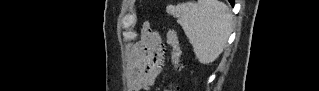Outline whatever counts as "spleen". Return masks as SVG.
Returning a JSON list of instances; mask_svg holds the SVG:
<instances>
[{"label":"spleen","mask_w":319,"mask_h":91,"mask_svg":"<svg viewBox=\"0 0 319 91\" xmlns=\"http://www.w3.org/2000/svg\"><path fill=\"white\" fill-rule=\"evenodd\" d=\"M166 11L177 19L200 63L210 64L223 52L233 24V16L225 3L189 1L169 5Z\"/></svg>","instance_id":"spleen-1"}]
</instances>
